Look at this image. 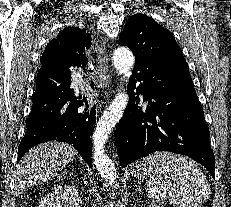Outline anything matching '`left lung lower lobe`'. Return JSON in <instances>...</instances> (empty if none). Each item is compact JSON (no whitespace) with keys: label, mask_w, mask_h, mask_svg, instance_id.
Instances as JSON below:
<instances>
[{"label":"left lung lower lobe","mask_w":231,"mask_h":207,"mask_svg":"<svg viewBox=\"0 0 231 207\" xmlns=\"http://www.w3.org/2000/svg\"><path fill=\"white\" fill-rule=\"evenodd\" d=\"M128 91L130 100L115 134L122 167L155 151H171L202 164L214 178L209 128L190 74L139 59ZM139 94L146 108L138 106Z\"/></svg>","instance_id":"obj_1"}]
</instances>
